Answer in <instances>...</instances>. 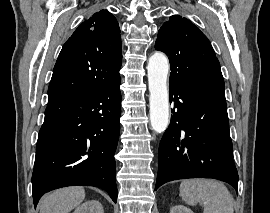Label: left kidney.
<instances>
[{
  "instance_id": "1",
  "label": "left kidney",
  "mask_w": 270,
  "mask_h": 213,
  "mask_svg": "<svg viewBox=\"0 0 270 213\" xmlns=\"http://www.w3.org/2000/svg\"><path fill=\"white\" fill-rule=\"evenodd\" d=\"M170 213H193V211L184 205H175L171 208Z\"/></svg>"
}]
</instances>
